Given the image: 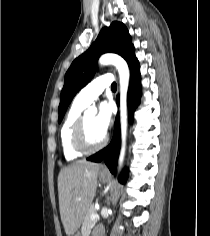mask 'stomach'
<instances>
[{"label": "stomach", "instance_id": "obj_1", "mask_svg": "<svg viewBox=\"0 0 210 236\" xmlns=\"http://www.w3.org/2000/svg\"><path fill=\"white\" fill-rule=\"evenodd\" d=\"M99 179H100L101 182H106L109 179V176L105 175L103 173H100Z\"/></svg>", "mask_w": 210, "mask_h": 236}]
</instances>
